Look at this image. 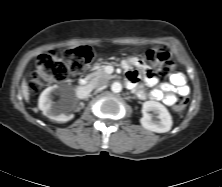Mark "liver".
<instances>
[{"mask_svg":"<svg viewBox=\"0 0 222 187\" xmlns=\"http://www.w3.org/2000/svg\"><path fill=\"white\" fill-rule=\"evenodd\" d=\"M21 89H22V95H23L25 101L29 102L30 93H29V86H28V83L26 81V78H24L23 81H22Z\"/></svg>","mask_w":222,"mask_h":187,"instance_id":"1","label":"liver"}]
</instances>
